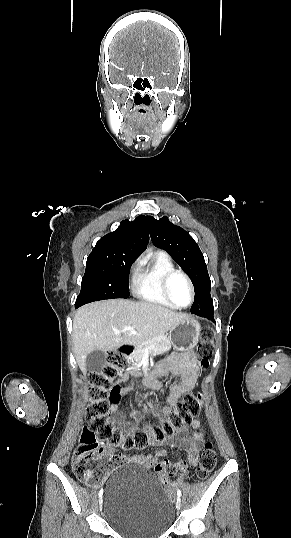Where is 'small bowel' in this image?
<instances>
[{"instance_id": "small-bowel-1", "label": "small bowel", "mask_w": 291, "mask_h": 538, "mask_svg": "<svg viewBox=\"0 0 291 538\" xmlns=\"http://www.w3.org/2000/svg\"><path fill=\"white\" fill-rule=\"evenodd\" d=\"M198 356L196 354H185L175 359V362L170 366L171 372L179 383L173 384L170 387L169 394L166 398V405L158 413L159 415H167L177 404V402L187 393L191 392L196 385L198 378ZM164 374V370H160L158 374L147 377L145 384L150 388H159L161 383L159 375ZM129 375L124 374L119 378L115 385L120 387L119 398L113 400L111 404V413L116 418L119 428L124 437L132 434L134 424L129 420L130 417L138 418L137 412L131 414H120L119 406L123 396L129 392V388L121 387L120 385L128 379ZM204 443V433L201 428V423L198 419L191 421V431L189 433L181 430L171 436H166L161 442H151L152 445H171L177 446L187 454V460L179 462L173 467L174 471L179 472L181 476L185 475L189 468H193L198 463V454ZM165 451H159L156 456L164 457ZM151 455L143 457L139 454H110V460L115 465H120L125 462L141 463L142 461L151 460Z\"/></svg>"}]
</instances>
